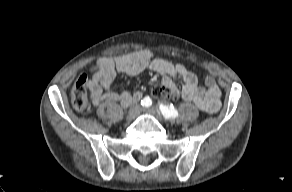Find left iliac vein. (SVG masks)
<instances>
[{
  "label": "left iliac vein",
  "instance_id": "left-iliac-vein-1",
  "mask_svg": "<svg viewBox=\"0 0 292 192\" xmlns=\"http://www.w3.org/2000/svg\"><path fill=\"white\" fill-rule=\"evenodd\" d=\"M144 111L148 114L153 115L160 122L164 121L162 114L160 113V111L157 108H155V107L146 108V109H144Z\"/></svg>",
  "mask_w": 292,
  "mask_h": 192
}]
</instances>
